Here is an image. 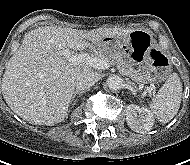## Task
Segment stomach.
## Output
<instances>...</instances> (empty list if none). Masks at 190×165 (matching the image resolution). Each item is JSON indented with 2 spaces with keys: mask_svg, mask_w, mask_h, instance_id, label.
Listing matches in <instances>:
<instances>
[{
  "mask_svg": "<svg viewBox=\"0 0 190 165\" xmlns=\"http://www.w3.org/2000/svg\"><path fill=\"white\" fill-rule=\"evenodd\" d=\"M98 54H123L124 61L147 82H159L168 74L170 59L154 45L147 32L125 31L120 37H105L95 45Z\"/></svg>",
  "mask_w": 190,
  "mask_h": 165,
  "instance_id": "obj_1",
  "label": "stomach"
}]
</instances>
